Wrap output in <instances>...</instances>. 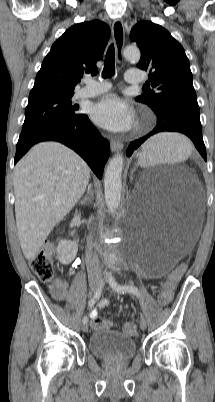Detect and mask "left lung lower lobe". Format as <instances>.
Returning a JSON list of instances; mask_svg holds the SVG:
<instances>
[{"label": "left lung lower lobe", "mask_w": 215, "mask_h": 402, "mask_svg": "<svg viewBox=\"0 0 215 402\" xmlns=\"http://www.w3.org/2000/svg\"><path fill=\"white\" fill-rule=\"evenodd\" d=\"M155 114L157 117V125L147 135L130 143L126 152L127 156H130L135 149L152 135L165 131H174L187 135L193 141L204 160H207L200 119L177 111L164 113L155 112Z\"/></svg>", "instance_id": "0a47b994"}]
</instances>
